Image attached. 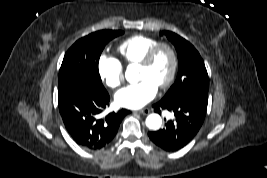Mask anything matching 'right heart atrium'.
I'll list each match as a JSON object with an SVG mask.
<instances>
[{"mask_svg":"<svg viewBox=\"0 0 267 178\" xmlns=\"http://www.w3.org/2000/svg\"><path fill=\"white\" fill-rule=\"evenodd\" d=\"M98 72L105 85L111 89L117 88L123 82V67L113 56L102 54L99 57Z\"/></svg>","mask_w":267,"mask_h":178,"instance_id":"d8ad5b80","label":"right heart atrium"}]
</instances>
